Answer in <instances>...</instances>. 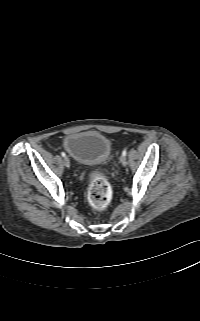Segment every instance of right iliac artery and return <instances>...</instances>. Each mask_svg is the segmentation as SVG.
Segmentation results:
<instances>
[{
  "label": "right iliac artery",
  "mask_w": 200,
  "mask_h": 321,
  "mask_svg": "<svg viewBox=\"0 0 200 321\" xmlns=\"http://www.w3.org/2000/svg\"><path fill=\"white\" fill-rule=\"evenodd\" d=\"M61 156H62V157H65V156H66V154H65L64 152H62V153H61Z\"/></svg>",
  "instance_id": "1"
}]
</instances>
